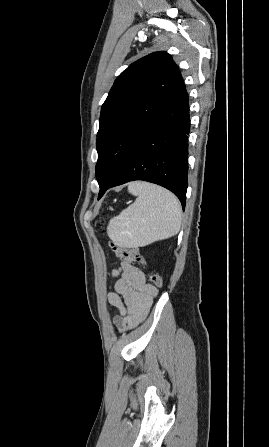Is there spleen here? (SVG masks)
Listing matches in <instances>:
<instances>
[{"label":"spleen","instance_id":"spleen-1","mask_svg":"<svg viewBox=\"0 0 269 447\" xmlns=\"http://www.w3.org/2000/svg\"><path fill=\"white\" fill-rule=\"evenodd\" d=\"M134 204L112 218L107 233L119 247H143L176 235L181 227V206L174 194L148 182H130Z\"/></svg>","mask_w":269,"mask_h":447}]
</instances>
